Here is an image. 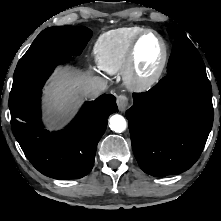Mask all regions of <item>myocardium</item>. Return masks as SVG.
Returning a JSON list of instances; mask_svg holds the SVG:
<instances>
[{
  "mask_svg": "<svg viewBox=\"0 0 221 221\" xmlns=\"http://www.w3.org/2000/svg\"><path fill=\"white\" fill-rule=\"evenodd\" d=\"M149 34L158 37L162 45V57L156 70L148 77H141L137 72V50L141 40ZM168 61V45L164 37L156 30L145 29L132 42L123 75L127 86L137 91H145L153 87L161 78Z\"/></svg>",
  "mask_w": 221,
  "mask_h": 221,
  "instance_id": "obj_1",
  "label": "myocardium"
}]
</instances>
